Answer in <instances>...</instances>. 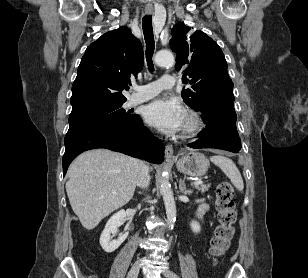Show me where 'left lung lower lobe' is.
Here are the masks:
<instances>
[{
	"mask_svg": "<svg viewBox=\"0 0 308 278\" xmlns=\"http://www.w3.org/2000/svg\"><path fill=\"white\" fill-rule=\"evenodd\" d=\"M201 112L207 126L199 133V140L189 146L223 149L237 153L241 149V140L236 129L237 116L233 100L217 101L203 108Z\"/></svg>",
	"mask_w": 308,
	"mask_h": 278,
	"instance_id": "0a47b994",
	"label": "left lung lower lobe"
}]
</instances>
